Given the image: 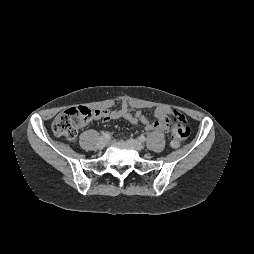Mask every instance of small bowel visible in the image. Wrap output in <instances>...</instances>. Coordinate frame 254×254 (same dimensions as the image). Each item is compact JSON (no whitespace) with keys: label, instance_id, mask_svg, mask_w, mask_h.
Here are the masks:
<instances>
[{"label":"small bowel","instance_id":"1","mask_svg":"<svg viewBox=\"0 0 254 254\" xmlns=\"http://www.w3.org/2000/svg\"><path fill=\"white\" fill-rule=\"evenodd\" d=\"M99 112V119L103 121L125 119L132 125H142L147 131H167L169 128V116L171 114L168 106L159 105L155 108V120L150 121L141 113L136 104L127 101L122 102L118 109L100 110Z\"/></svg>","mask_w":254,"mask_h":254}]
</instances>
